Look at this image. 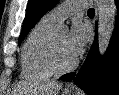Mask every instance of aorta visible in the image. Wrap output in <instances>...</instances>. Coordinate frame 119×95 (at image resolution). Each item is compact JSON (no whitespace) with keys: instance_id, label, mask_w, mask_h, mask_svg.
<instances>
[{"instance_id":"1","label":"aorta","mask_w":119,"mask_h":95,"mask_svg":"<svg viewBox=\"0 0 119 95\" xmlns=\"http://www.w3.org/2000/svg\"><path fill=\"white\" fill-rule=\"evenodd\" d=\"M98 7V50L105 54L114 28L115 4L114 0H95ZM61 30H67L66 25H60Z\"/></svg>"}]
</instances>
